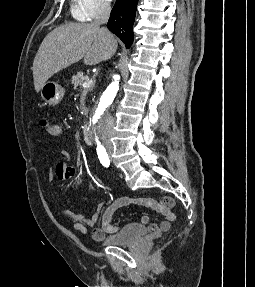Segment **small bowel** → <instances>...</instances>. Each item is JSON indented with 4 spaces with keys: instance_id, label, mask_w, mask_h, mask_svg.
I'll list each match as a JSON object with an SVG mask.
<instances>
[{
    "instance_id": "c3829d8e",
    "label": "small bowel",
    "mask_w": 255,
    "mask_h": 287,
    "mask_svg": "<svg viewBox=\"0 0 255 287\" xmlns=\"http://www.w3.org/2000/svg\"><path fill=\"white\" fill-rule=\"evenodd\" d=\"M61 156L64 160L70 159V153L68 151L63 150L61 152ZM74 176L75 169L73 167L67 165L65 162H59L56 165L55 171L50 173L49 181L52 182L55 178H58L59 180H69ZM129 204H137L151 208L164 217L159 224H149V231L155 235H161L162 233L167 232L175 221V214L172 211L175 202L171 197H164L161 200L151 198L120 197L105 207L103 205H99L91 216H85L70 210H64L63 214L73 224L75 231L86 234V227H93L92 237L95 240H101L106 234L114 233L117 230V226L113 224L114 212L118 208ZM99 219H101L102 225L101 227H95ZM140 223L143 225L148 224L149 217L146 215L142 216L140 218Z\"/></svg>"
}]
</instances>
